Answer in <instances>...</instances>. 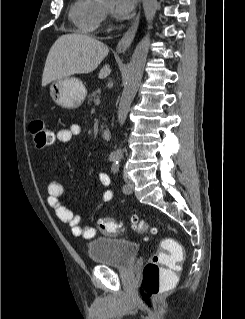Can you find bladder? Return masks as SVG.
<instances>
[{
    "label": "bladder",
    "instance_id": "obj_1",
    "mask_svg": "<svg viewBox=\"0 0 245 319\" xmlns=\"http://www.w3.org/2000/svg\"><path fill=\"white\" fill-rule=\"evenodd\" d=\"M139 250L136 242L118 238H94L88 243V253L95 264L129 268Z\"/></svg>",
    "mask_w": 245,
    "mask_h": 319
}]
</instances>
